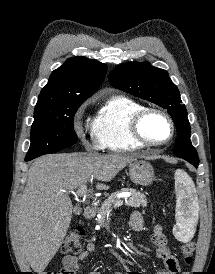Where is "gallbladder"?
I'll use <instances>...</instances> for the list:
<instances>
[{
	"mask_svg": "<svg viewBox=\"0 0 215 274\" xmlns=\"http://www.w3.org/2000/svg\"><path fill=\"white\" fill-rule=\"evenodd\" d=\"M74 211L75 213L79 214L82 211V209L80 207H75Z\"/></svg>",
	"mask_w": 215,
	"mask_h": 274,
	"instance_id": "1",
	"label": "gallbladder"
}]
</instances>
